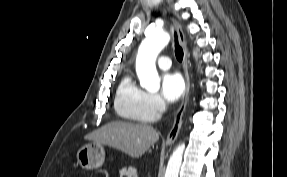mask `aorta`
I'll use <instances>...</instances> for the list:
<instances>
[{
  "instance_id": "1",
  "label": "aorta",
  "mask_w": 287,
  "mask_h": 177,
  "mask_svg": "<svg viewBox=\"0 0 287 177\" xmlns=\"http://www.w3.org/2000/svg\"><path fill=\"white\" fill-rule=\"evenodd\" d=\"M170 35L165 31H155L145 38L138 50L136 58V72L141 87L155 92L159 89L160 78L156 70V58L160 51L169 43ZM185 144L177 146L171 155L165 177H178L182 164Z\"/></svg>"
}]
</instances>
